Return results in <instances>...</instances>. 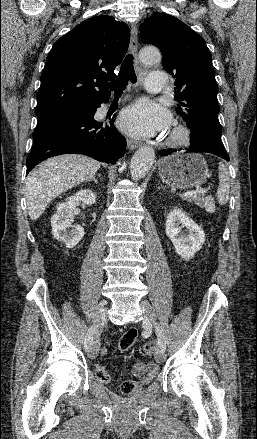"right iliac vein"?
<instances>
[{
  "label": "right iliac vein",
  "instance_id": "1",
  "mask_svg": "<svg viewBox=\"0 0 257 439\" xmlns=\"http://www.w3.org/2000/svg\"><path fill=\"white\" fill-rule=\"evenodd\" d=\"M104 305H105V303L102 302L99 305V307L97 308V310L92 318V321L94 324H98L105 319L106 314H107V310H106ZM98 345H99V338H98V336H95L94 340L92 342L91 350L89 351V357L91 359L96 357V355L98 353Z\"/></svg>",
  "mask_w": 257,
  "mask_h": 439
}]
</instances>
